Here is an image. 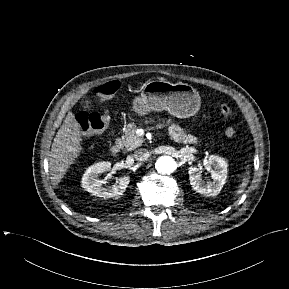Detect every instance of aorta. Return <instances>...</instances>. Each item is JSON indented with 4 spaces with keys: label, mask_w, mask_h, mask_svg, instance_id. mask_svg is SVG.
<instances>
[{
    "label": "aorta",
    "mask_w": 289,
    "mask_h": 289,
    "mask_svg": "<svg viewBox=\"0 0 289 289\" xmlns=\"http://www.w3.org/2000/svg\"><path fill=\"white\" fill-rule=\"evenodd\" d=\"M177 164L171 156H161L155 163V168L160 174H170L175 171Z\"/></svg>",
    "instance_id": "762f6f07"
}]
</instances>
